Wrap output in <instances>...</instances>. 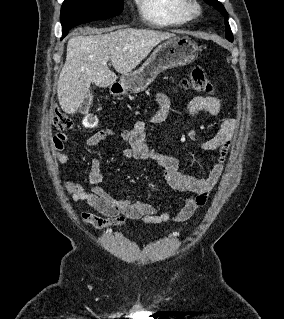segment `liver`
Wrapping results in <instances>:
<instances>
[{
    "label": "liver",
    "mask_w": 284,
    "mask_h": 319,
    "mask_svg": "<svg viewBox=\"0 0 284 319\" xmlns=\"http://www.w3.org/2000/svg\"><path fill=\"white\" fill-rule=\"evenodd\" d=\"M104 30L110 33L76 36L68 40L66 61L59 76L57 96L61 109L74 114L88 97L91 83L107 87L115 83L114 69L128 74L145 59L161 41L175 34L148 29Z\"/></svg>",
    "instance_id": "obj_1"
}]
</instances>
